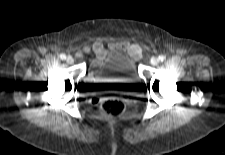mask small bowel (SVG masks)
<instances>
[{"instance_id": "obj_1", "label": "small bowel", "mask_w": 225, "mask_h": 155, "mask_svg": "<svg viewBox=\"0 0 225 155\" xmlns=\"http://www.w3.org/2000/svg\"><path fill=\"white\" fill-rule=\"evenodd\" d=\"M111 50H127L134 58H138L141 53V49L138 45L130 44L128 42H113L109 43L107 46L97 42L91 48H84L83 52L91 53L92 61H95L97 58L106 56Z\"/></svg>"}]
</instances>
